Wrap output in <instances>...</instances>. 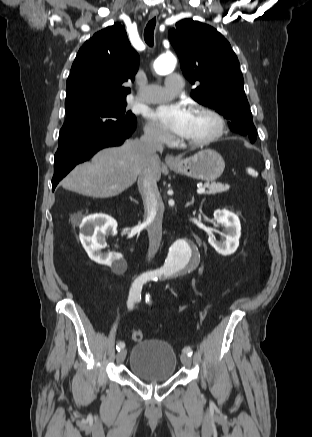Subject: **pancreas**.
<instances>
[{"mask_svg":"<svg viewBox=\"0 0 312 437\" xmlns=\"http://www.w3.org/2000/svg\"><path fill=\"white\" fill-rule=\"evenodd\" d=\"M205 187L208 188V191H206V194L208 195L226 192L230 188L228 184L222 185L220 183H214V182L205 184Z\"/></svg>","mask_w":312,"mask_h":437,"instance_id":"obj_1","label":"pancreas"}]
</instances>
